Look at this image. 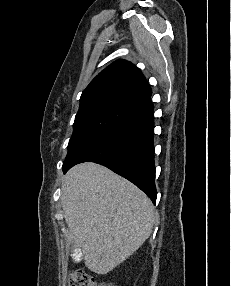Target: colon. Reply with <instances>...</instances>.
Wrapping results in <instances>:
<instances>
[{
    "label": "colon",
    "mask_w": 231,
    "mask_h": 286,
    "mask_svg": "<svg viewBox=\"0 0 231 286\" xmlns=\"http://www.w3.org/2000/svg\"><path fill=\"white\" fill-rule=\"evenodd\" d=\"M68 286H116L112 283L100 282L83 270L73 271L68 278Z\"/></svg>",
    "instance_id": "colon-1"
}]
</instances>
